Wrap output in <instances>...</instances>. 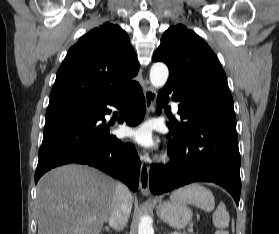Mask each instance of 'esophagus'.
I'll return each mask as SVG.
<instances>
[{
    "instance_id": "1",
    "label": "esophagus",
    "mask_w": 279,
    "mask_h": 234,
    "mask_svg": "<svg viewBox=\"0 0 279 234\" xmlns=\"http://www.w3.org/2000/svg\"><path fill=\"white\" fill-rule=\"evenodd\" d=\"M145 97V106H146V115L149 116L155 109L157 92L154 88L149 86L146 82V85L143 89ZM149 164L147 159L144 156H141V167H140V176H139V188L143 195L149 196Z\"/></svg>"
}]
</instances>
